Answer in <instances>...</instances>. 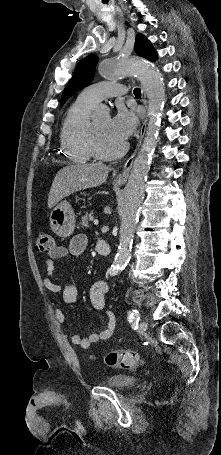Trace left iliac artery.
Instances as JSON below:
<instances>
[{
    "label": "left iliac artery",
    "instance_id": "1",
    "mask_svg": "<svg viewBox=\"0 0 221 455\" xmlns=\"http://www.w3.org/2000/svg\"><path fill=\"white\" fill-rule=\"evenodd\" d=\"M140 320V314L137 310H132L129 312V315H128V321L131 323V322H136L138 323V321Z\"/></svg>",
    "mask_w": 221,
    "mask_h": 455
}]
</instances>
